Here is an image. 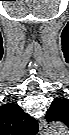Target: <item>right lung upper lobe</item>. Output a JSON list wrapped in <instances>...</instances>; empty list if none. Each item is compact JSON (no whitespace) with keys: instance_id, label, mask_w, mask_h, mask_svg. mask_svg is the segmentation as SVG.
<instances>
[{"instance_id":"right-lung-upper-lobe-1","label":"right lung upper lobe","mask_w":69,"mask_h":135,"mask_svg":"<svg viewBox=\"0 0 69 135\" xmlns=\"http://www.w3.org/2000/svg\"><path fill=\"white\" fill-rule=\"evenodd\" d=\"M0 124L3 135H28L38 131L37 121L14 103L0 107Z\"/></svg>"}]
</instances>
